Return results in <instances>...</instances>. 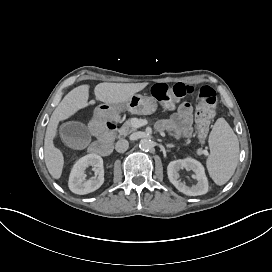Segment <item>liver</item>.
<instances>
[{
	"mask_svg": "<svg viewBox=\"0 0 272 272\" xmlns=\"http://www.w3.org/2000/svg\"><path fill=\"white\" fill-rule=\"evenodd\" d=\"M150 83H112L102 82L95 86L96 100L107 105H118L128 101L133 95L144 90ZM90 84H83L72 89L53 111L46 128L44 138L45 164L54 179H59L64 168V155L60 148L55 147L54 140L58 137V125L61 121L72 118L78 111L96 103L88 102Z\"/></svg>",
	"mask_w": 272,
	"mask_h": 272,
	"instance_id": "6515ba94",
	"label": "liver"
}]
</instances>
